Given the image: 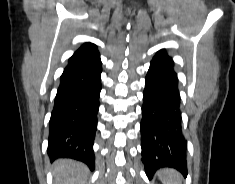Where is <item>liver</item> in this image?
<instances>
[{
	"label": "liver",
	"mask_w": 235,
	"mask_h": 184,
	"mask_svg": "<svg viewBox=\"0 0 235 184\" xmlns=\"http://www.w3.org/2000/svg\"><path fill=\"white\" fill-rule=\"evenodd\" d=\"M88 168L74 160H57L52 174L54 184H86Z\"/></svg>",
	"instance_id": "1"
}]
</instances>
